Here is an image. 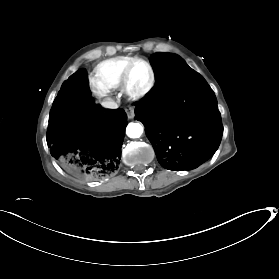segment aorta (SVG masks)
I'll use <instances>...</instances> for the list:
<instances>
[{
    "instance_id": "aorta-1",
    "label": "aorta",
    "mask_w": 279,
    "mask_h": 279,
    "mask_svg": "<svg viewBox=\"0 0 279 279\" xmlns=\"http://www.w3.org/2000/svg\"><path fill=\"white\" fill-rule=\"evenodd\" d=\"M143 133V127L139 123H129L126 127V134L130 138H139Z\"/></svg>"
}]
</instances>
